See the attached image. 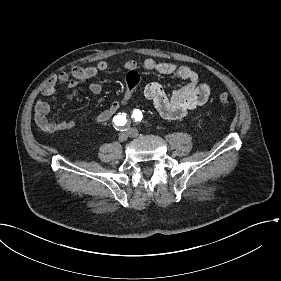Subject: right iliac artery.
<instances>
[{"label":"right iliac artery","instance_id":"82829eb1","mask_svg":"<svg viewBox=\"0 0 281 281\" xmlns=\"http://www.w3.org/2000/svg\"><path fill=\"white\" fill-rule=\"evenodd\" d=\"M113 124L116 130L125 131L129 125V118L126 116V113H118L113 118Z\"/></svg>","mask_w":281,"mask_h":281}]
</instances>
